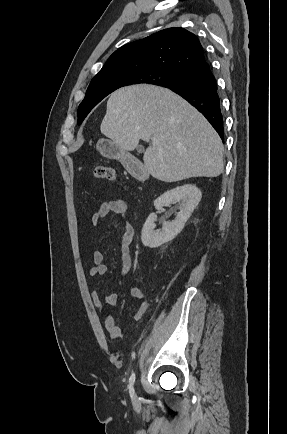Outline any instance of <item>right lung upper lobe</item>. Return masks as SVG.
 <instances>
[{
    "mask_svg": "<svg viewBox=\"0 0 287 434\" xmlns=\"http://www.w3.org/2000/svg\"><path fill=\"white\" fill-rule=\"evenodd\" d=\"M205 60L198 38L184 28L173 27L120 47L92 80L150 71L182 75Z\"/></svg>",
    "mask_w": 287,
    "mask_h": 434,
    "instance_id": "right-lung-upper-lobe-1",
    "label": "right lung upper lobe"
}]
</instances>
